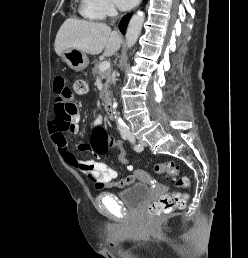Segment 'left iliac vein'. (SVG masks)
Listing matches in <instances>:
<instances>
[{
    "label": "left iliac vein",
    "instance_id": "4c4485c4",
    "mask_svg": "<svg viewBox=\"0 0 248 258\" xmlns=\"http://www.w3.org/2000/svg\"><path fill=\"white\" fill-rule=\"evenodd\" d=\"M139 144H140L142 147H146V146H147V142H146L144 139H141V138H139Z\"/></svg>",
    "mask_w": 248,
    "mask_h": 258
}]
</instances>
